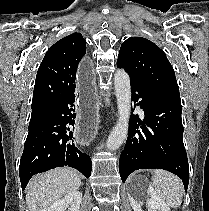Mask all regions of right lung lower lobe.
I'll return each instance as SVG.
<instances>
[{"label": "right lung lower lobe", "instance_id": "98d812e1", "mask_svg": "<svg viewBox=\"0 0 209 211\" xmlns=\"http://www.w3.org/2000/svg\"><path fill=\"white\" fill-rule=\"evenodd\" d=\"M74 102V93L57 100L29 127L19 166L22 190L33 175L55 167L69 166L86 178L91 175L90 157L73 141L70 126L75 123Z\"/></svg>", "mask_w": 209, "mask_h": 211}]
</instances>
